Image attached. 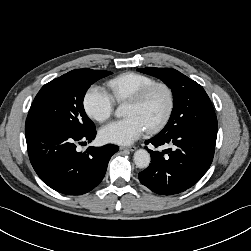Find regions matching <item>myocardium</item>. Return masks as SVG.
<instances>
[{"label": "myocardium", "mask_w": 251, "mask_h": 251, "mask_svg": "<svg viewBox=\"0 0 251 251\" xmlns=\"http://www.w3.org/2000/svg\"><path fill=\"white\" fill-rule=\"evenodd\" d=\"M163 89L167 95V108L163 116L160 118L158 122H156L154 125L149 127L147 130L149 133H156L159 130H161L169 121L173 110L175 106V96L173 89L166 83L164 82H154L143 89H141L139 92H137L134 96H132L128 102L136 104V105H141L143 104L147 98L150 96V94L155 90V89Z\"/></svg>", "instance_id": "myocardium-1"}]
</instances>
